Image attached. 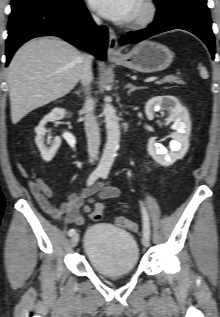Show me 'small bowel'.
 <instances>
[{
    "instance_id": "1",
    "label": "small bowel",
    "mask_w": 220,
    "mask_h": 317,
    "mask_svg": "<svg viewBox=\"0 0 220 317\" xmlns=\"http://www.w3.org/2000/svg\"><path fill=\"white\" fill-rule=\"evenodd\" d=\"M31 193L41 209L54 220H65L67 223L81 225L85 214H90L102 201L115 198L120 191L116 187L104 186L98 182L89 187L70 194L68 201L56 206L51 202L54 196L52 187L41 178L29 182ZM97 195V199L93 196Z\"/></svg>"
}]
</instances>
